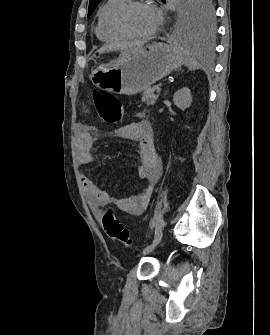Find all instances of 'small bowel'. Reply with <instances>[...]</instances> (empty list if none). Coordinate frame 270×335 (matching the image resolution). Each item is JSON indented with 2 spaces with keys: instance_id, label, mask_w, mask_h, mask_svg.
I'll use <instances>...</instances> for the list:
<instances>
[{
  "instance_id": "c3829d8e",
  "label": "small bowel",
  "mask_w": 270,
  "mask_h": 335,
  "mask_svg": "<svg viewBox=\"0 0 270 335\" xmlns=\"http://www.w3.org/2000/svg\"><path fill=\"white\" fill-rule=\"evenodd\" d=\"M96 128L92 125L80 123L77 125L76 135L79 144L78 159L83 165L92 163L93 156L91 149L95 143ZM120 138L131 140L137 143L140 161L137 164V173L141 179L146 180L149 186L144 192L131 195L114 201L113 198L92 179L81 175V182L88 197V203L92 212L99 216L101 208L110 204L123 213L138 216L148 208L153 185L158 181L161 174V167L153 144V130L151 124L139 119L123 125L118 132Z\"/></svg>"
}]
</instances>
